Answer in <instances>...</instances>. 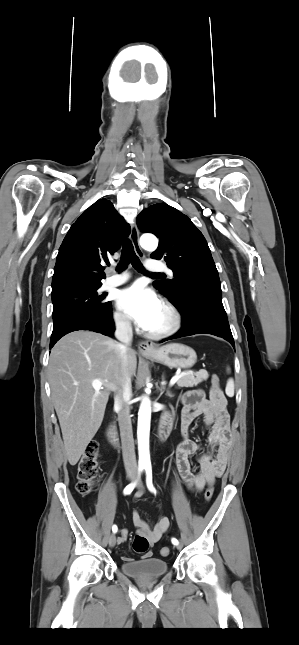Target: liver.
Returning <instances> with one entry per match:
<instances>
[{
	"label": "liver",
	"instance_id": "liver-1",
	"mask_svg": "<svg viewBox=\"0 0 299 645\" xmlns=\"http://www.w3.org/2000/svg\"><path fill=\"white\" fill-rule=\"evenodd\" d=\"M117 342L91 331H74L52 348L48 366L51 397L67 459L74 466L101 426L111 390L122 388ZM136 352H127V371L135 376ZM100 379L103 387L94 389Z\"/></svg>",
	"mask_w": 299,
	"mask_h": 645
}]
</instances>
